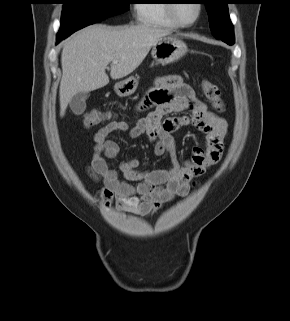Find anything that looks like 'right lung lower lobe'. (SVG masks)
I'll return each mask as SVG.
<instances>
[{
	"mask_svg": "<svg viewBox=\"0 0 290 321\" xmlns=\"http://www.w3.org/2000/svg\"><path fill=\"white\" fill-rule=\"evenodd\" d=\"M62 39H64V38L57 37V43H59Z\"/></svg>",
	"mask_w": 290,
	"mask_h": 321,
	"instance_id": "1",
	"label": "right lung lower lobe"
}]
</instances>
